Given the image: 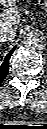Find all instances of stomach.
Here are the masks:
<instances>
[{
  "label": "stomach",
  "mask_w": 47,
  "mask_h": 129,
  "mask_svg": "<svg viewBox=\"0 0 47 129\" xmlns=\"http://www.w3.org/2000/svg\"><path fill=\"white\" fill-rule=\"evenodd\" d=\"M45 5H47V1H45Z\"/></svg>",
  "instance_id": "stomach-1"
}]
</instances>
